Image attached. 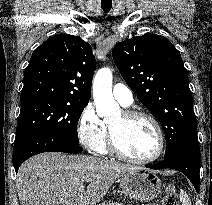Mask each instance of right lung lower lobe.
<instances>
[{
  "mask_svg": "<svg viewBox=\"0 0 212 205\" xmlns=\"http://www.w3.org/2000/svg\"><path fill=\"white\" fill-rule=\"evenodd\" d=\"M49 151H60L65 153H80L82 148L79 144L61 137L51 135H38L28 137L17 143L13 148V164L17 173L19 166L28 158Z\"/></svg>",
  "mask_w": 212,
  "mask_h": 205,
  "instance_id": "right-lung-lower-lobe-1",
  "label": "right lung lower lobe"
}]
</instances>
